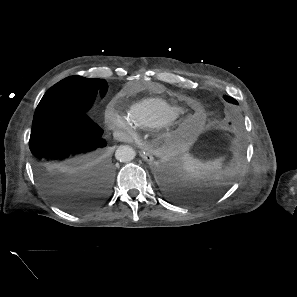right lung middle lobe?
Listing matches in <instances>:
<instances>
[{"label": "right lung middle lobe", "instance_id": "obj_1", "mask_svg": "<svg viewBox=\"0 0 297 297\" xmlns=\"http://www.w3.org/2000/svg\"><path fill=\"white\" fill-rule=\"evenodd\" d=\"M98 90L101 96L105 95L107 92L105 80L80 76L65 78L43 96L35 110L32 126L64 113L80 112L87 115Z\"/></svg>", "mask_w": 297, "mask_h": 297}]
</instances>
